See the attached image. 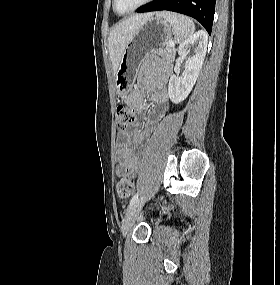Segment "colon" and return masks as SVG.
<instances>
[{"label":"colon","instance_id":"colon-1","mask_svg":"<svg viewBox=\"0 0 280 285\" xmlns=\"http://www.w3.org/2000/svg\"><path fill=\"white\" fill-rule=\"evenodd\" d=\"M134 119V109L125 105H119L117 107L116 129L118 132H123L130 127ZM116 189L120 198H127L134 190V181L129 177L122 176L117 182Z\"/></svg>","mask_w":280,"mask_h":285}]
</instances>
